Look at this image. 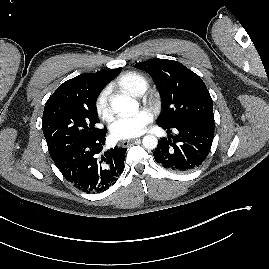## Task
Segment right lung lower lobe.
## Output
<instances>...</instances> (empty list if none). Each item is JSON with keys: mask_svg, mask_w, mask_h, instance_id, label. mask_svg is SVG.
Listing matches in <instances>:
<instances>
[{"mask_svg": "<svg viewBox=\"0 0 269 269\" xmlns=\"http://www.w3.org/2000/svg\"><path fill=\"white\" fill-rule=\"evenodd\" d=\"M107 130L95 138L77 142L53 158L66 180L87 193H99L115 184L124 168L126 148L117 146L102 156Z\"/></svg>", "mask_w": 269, "mask_h": 269, "instance_id": "right-lung-lower-lobe-1", "label": "right lung lower lobe"}]
</instances>
